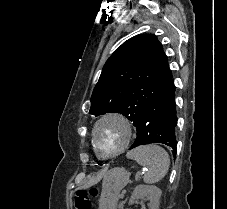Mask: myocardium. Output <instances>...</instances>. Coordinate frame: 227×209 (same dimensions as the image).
<instances>
[{
    "label": "myocardium",
    "mask_w": 227,
    "mask_h": 209,
    "mask_svg": "<svg viewBox=\"0 0 227 209\" xmlns=\"http://www.w3.org/2000/svg\"><path fill=\"white\" fill-rule=\"evenodd\" d=\"M109 118L116 119L125 126L126 131H127V137H126L123 145L119 149H117L113 152H110V153H101L96 144V141H95V132H96L97 126L102 121L109 119ZM132 136H133V129H132L129 119L125 115H123L122 113L117 112V111H110V112H107V113L101 115L93 124L91 134H90L92 148H93L95 154L97 155V157L100 159H110V158H114V157L120 155L129 146V144L132 140Z\"/></svg>",
    "instance_id": "obj_1"
}]
</instances>
